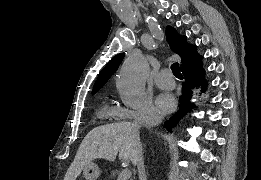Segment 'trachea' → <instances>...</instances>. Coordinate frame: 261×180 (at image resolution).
I'll use <instances>...</instances> for the list:
<instances>
[{"mask_svg":"<svg viewBox=\"0 0 261 180\" xmlns=\"http://www.w3.org/2000/svg\"><path fill=\"white\" fill-rule=\"evenodd\" d=\"M171 70H172L173 75H174L176 78H179V79H182V78H183V75L180 73L179 63H173V64L171 65Z\"/></svg>","mask_w":261,"mask_h":180,"instance_id":"trachea-1","label":"trachea"}]
</instances>
